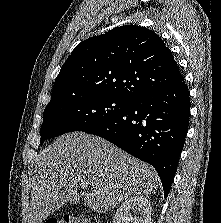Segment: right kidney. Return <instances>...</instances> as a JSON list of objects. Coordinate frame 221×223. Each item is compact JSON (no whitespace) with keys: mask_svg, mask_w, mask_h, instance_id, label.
<instances>
[{"mask_svg":"<svg viewBox=\"0 0 221 223\" xmlns=\"http://www.w3.org/2000/svg\"><path fill=\"white\" fill-rule=\"evenodd\" d=\"M137 211L140 216H132L129 210ZM152 207L144 196H133L121 204L116 211L113 223H151Z\"/></svg>","mask_w":221,"mask_h":223,"instance_id":"ca27d5eb","label":"right kidney"}]
</instances>
